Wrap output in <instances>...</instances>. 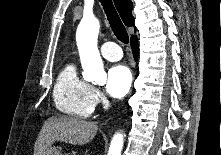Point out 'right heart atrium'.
Masks as SVG:
<instances>
[{
    "label": "right heart atrium",
    "mask_w": 221,
    "mask_h": 155,
    "mask_svg": "<svg viewBox=\"0 0 221 155\" xmlns=\"http://www.w3.org/2000/svg\"><path fill=\"white\" fill-rule=\"evenodd\" d=\"M92 98L95 104L100 103L103 100V95L97 88L92 87Z\"/></svg>",
    "instance_id": "right-heart-atrium-1"
}]
</instances>
